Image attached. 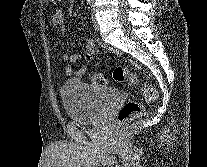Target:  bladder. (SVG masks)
<instances>
[{"mask_svg":"<svg viewBox=\"0 0 207 167\" xmlns=\"http://www.w3.org/2000/svg\"><path fill=\"white\" fill-rule=\"evenodd\" d=\"M119 97L115 89L90 85L79 79L65 81L61 99L70 120L77 123H93L104 115Z\"/></svg>","mask_w":207,"mask_h":167,"instance_id":"31cf9c89","label":"bladder"}]
</instances>
